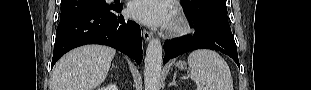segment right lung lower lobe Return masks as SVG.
Listing matches in <instances>:
<instances>
[{
  "label": "right lung lower lobe",
  "mask_w": 311,
  "mask_h": 90,
  "mask_svg": "<svg viewBox=\"0 0 311 90\" xmlns=\"http://www.w3.org/2000/svg\"><path fill=\"white\" fill-rule=\"evenodd\" d=\"M123 5H113L105 10H88L60 20L56 31L51 67L69 50L85 44L108 45L142 61L140 26L126 20L119 13Z\"/></svg>",
  "instance_id": "right-lung-lower-lobe-1"
}]
</instances>
